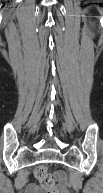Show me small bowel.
Listing matches in <instances>:
<instances>
[{
  "mask_svg": "<svg viewBox=\"0 0 103 193\" xmlns=\"http://www.w3.org/2000/svg\"><path fill=\"white\" fill-rule=\"evenodd\" d=\"M69 183L64 174H60V179L55 188L47 190L40 186L37 182L31 183L26 186L25 193H68Z\"/></svg>",
  "mask_w": 103,
  "mask_h": 193,
  "instance_id": "small-bowel-1",
  "label": "small bowel"
}]
</instances>
